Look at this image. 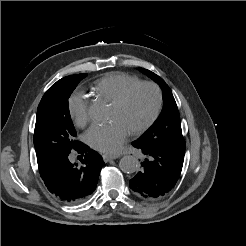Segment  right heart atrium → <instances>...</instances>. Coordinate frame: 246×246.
Here are the masks:
<instances>
[{
  "instance_id": "d8ad5b80",
  "label": "right heart atrium",
  "mask_w": 246,
  "mask_h": 246,
  "mask_svg": "<svg viewBox=\"0 0 246 246\" xmlns=\"http://www.w3.org/2000/svg\"><path fill=\"white\" fill-rule=\"evenodd\" d=\"M89 101L83 91L74 92L68 100L69 114L77 126H84L89 120Z\"/></svg>"
}]
</instances>
